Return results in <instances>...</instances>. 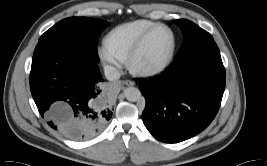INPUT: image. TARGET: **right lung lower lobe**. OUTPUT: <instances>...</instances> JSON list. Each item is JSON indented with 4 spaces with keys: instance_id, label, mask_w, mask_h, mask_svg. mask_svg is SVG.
Returning a JSON list of instances; mask_svg holds the SVG:
<instances>
[{
    "instance_id": "right-lung-lower-lobe-1",
    "label": "right lung lower lobe",
    "mask_w": 267,
    "mask_h": 166,
    "mask_svg": "<svg viewBox=\"0 0 267 166\" xmlns=\"http://www.w3.org/2000/svg\"><path fill=\"white\" fill-rule=\"evenodd\" d=\"M98 62L72 46L40 41L34 51L30 89L48 125L73 140L95 136L112 111L102 100Z\"/></svg>"
}]
</instances>
